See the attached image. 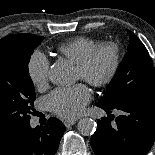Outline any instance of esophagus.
Wrapping results in <instances>:
<instances>
[{"label":"esophagus","instance_id":"1","mask_svg":"<svg viewBox=\"0 0 155 155\" xmlns=\"http://www.w3.org/2000/svg\"><path fill=\"white\" fill-rule=\"evenodd\" d=\"M76 119H66L65 121H64V125L66 126V127H69V126H71V125H74L75 123H76Z\"/></svg>","mask_w":155,"mask_h":155}]
</instances>
